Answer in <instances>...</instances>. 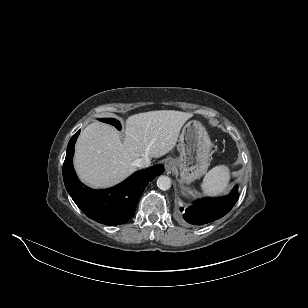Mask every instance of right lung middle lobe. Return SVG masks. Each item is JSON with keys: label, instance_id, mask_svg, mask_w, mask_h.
<instances>
[{"label": "right lung middle lobe", "instance_id": "1", "mask_svg": "<svg viewBox=\"0 0 308 308\" xmlns=\"http://www.w3.org/2000/svg\"><path fill=\"white\" fill-rule=\"evenodd\" d=\"M102 122L109 123L113 126H115L118 130L121 129V124L118 120L114 118H106V119H101Z\"/></svg>", "mask_w": 308, "mask_h": 308}]
</instances>
